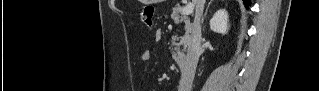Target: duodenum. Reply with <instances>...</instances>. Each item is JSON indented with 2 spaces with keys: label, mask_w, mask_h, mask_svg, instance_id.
Returning a JSON list of instances; mask_svg holds the SVG:
<instances>
[{
  "label": "duodenum",
  "mask_w": 319,
  "mask_h": 91,
  "mask_svg": "<svg viewBox=\"0 0 319 91\" xmlns=\"http://www.w3.org/2000/svg\"><path fill=\"white\" fill-rule=\"evenodd\" d=\"M174 61L177 63L179 68H184L186 65V56L182 53L174 54L173 56Z\"/></svg>",
  "instance_id": "1"
}]
</instances>
